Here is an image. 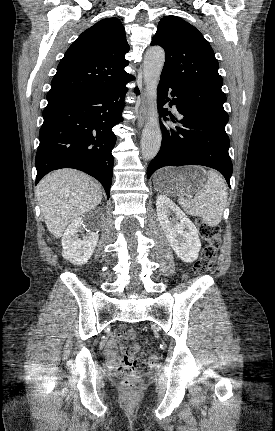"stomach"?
Masks as SVG:
<instances>
[{"label": "stomach", "instance_id": "stomach-1", "mask_svg": "<svg viewBox=\"0 0 275 431\" xmlns=\"http://www.w3.org/2000/svg\"><path fill=\"white\" fill-rule=\"evenodd\" d=\"M205 170L199 166L164 168L155 173V189L171 196H187L198 192L206 182Z\"/></svg>", "mask_w": 275, "mask_h": 431}]
</instances>
